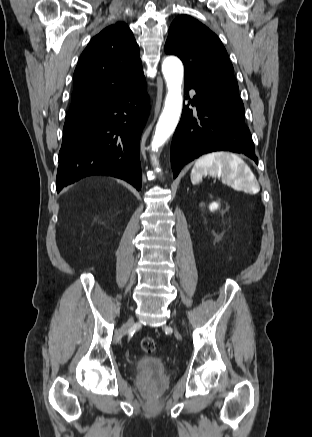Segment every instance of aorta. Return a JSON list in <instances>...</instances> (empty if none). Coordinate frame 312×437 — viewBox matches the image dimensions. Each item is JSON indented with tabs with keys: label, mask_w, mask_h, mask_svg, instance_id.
<instances>
[{
	"label": "aorta",
	"mask_w": 312,
	"mask_h": 437,
	"mask_svg": "<svg viewBox=\"0 0 312 437\" xmlns=\"http://www.w3.org/2000/svg\"><path fill=\"white\" fill-rule=\"evenodd\" d=\"M162 72L166 80L168 93L165 100L163 112L156 125L155 134L151 142L152 152H157L158 149L165 144L168 138L174 132L182 111V91L181 85L183 81V65L176 57H167L162 64ZM156 171L160 172L156 157H152Z\"/></svg>",
	"instance_id": "1"
}]
</instances>
